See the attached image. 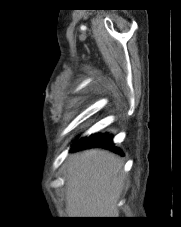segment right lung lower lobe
Listing matches in <instances>:
<instances>
[{
	"label": "right lung lower lobe",
	"mask_w": 181,
	"mask_h": 227,
	"mask_svg": "<svg viewBox=\"0 0 181 227\" xmlns=\"http://www.w3.org/2000/svg\"><path fill=\"white\" fill-rule=\"evenodd\" d=\"M91 147H102L121 153L119 148L114 147L112 137L109 134H94L89 137L82 138L73 146L72 149L80 150Z\"/></svg>",
	"instance_id": "right-lung-lower-lobe-1"
}]
</instances>
